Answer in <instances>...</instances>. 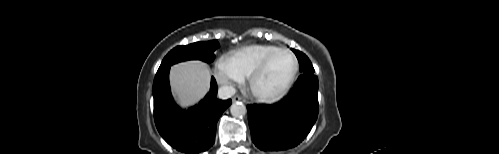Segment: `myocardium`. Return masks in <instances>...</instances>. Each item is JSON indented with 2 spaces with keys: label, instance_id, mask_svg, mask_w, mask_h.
Listing matches in <instances>:
<instances>
[{
  "label": "myocardium",
  "instance_id": "obj_1",
  "mask_svg": "<svg viewBox=\"0 0 499 154\" xmlns=\"http://www.w3.org/2000/svg\"><path fill=\"white\" fill-rule=\"evenodd\" d=\"M282 52L289 54L293 60V69H292V72H291L288 80L283 85V87L274 94L264 95V94L257 92L255 89V84H256L257 80L266 71L269 63L274 58V56L277 55L278 53H282ZM298 69H299V62H298L296 55L291 50H289L287 48H277L276 50H274L273 52L268 54L261 61V63L257 66V68L250 74V76L248 77L249 90L252 93V95L256 99H258L259 101H262L265 103L275 102V101L279 100L280 98H282L288 92V90L291 88V86L296 78V75L298 73Z\"/></svg>",
  "mask_w": 499,
  "mask_h": 154
}]
</instances>
